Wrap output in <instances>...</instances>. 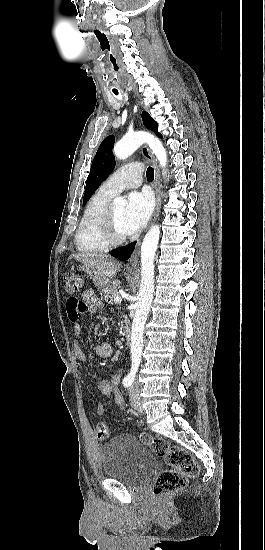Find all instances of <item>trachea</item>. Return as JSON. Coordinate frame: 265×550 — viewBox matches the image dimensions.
I'll return each instance as SVG.
<instances>
[{
	"label": "trachea",
	"instance_id": "1",
	"mask_svg": "<svg viewBox=\"0 0 265 550\" xmlns=\"http://www.w3.org/2000/svg\"><path fill=\"white\" fill-rule=\"evenodd\" d=\"M117 95L118 93L115 92ZM146 177L149 181H152L154 179V169L152 167H148L146 171Z\"/></svg>",
	"mask_w": 265,
	"mask_h": 550
}]
</instances>
